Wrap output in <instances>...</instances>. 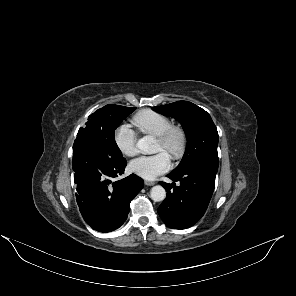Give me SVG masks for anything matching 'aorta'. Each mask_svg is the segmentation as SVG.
I'll return each mask as SVG.
<instances>
[{"instance_id":"762f6f07","label":"aorta","mask_w":296,"mask_h":296,"mask_svg":"<svg viewBox=\"0 0 296 296\" xmlns=\"http://www.w3.org/2000/svg\"><path fill=\"white\" fill-rule=\"evenodd\" d=\"M153 146L154 140L150 136H145L136 143V147L145 153H152ZM150 197L155 202L163 201L166 197V190L161 185H156L151 188Z\"/></svg>"}]
</instances>
